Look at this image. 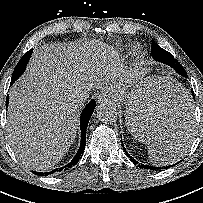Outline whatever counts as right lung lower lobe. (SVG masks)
I'll return each instance as SVG.
<instances>
[{
  "instance_id": "right-lung-lower-lobe-1",
  "label": "right lung lower lobe",
  "mask_w": 203,
  "mask_h": 203,
  "mask_svg": "<svg viewBox=\"0 0 203 203\" xmlns=\"http://www.w3.org/2000/svg\"><path fill=\"white\" fill-rule=\"evenodd\" d=\"M32 53H33V49H30L27 53H25L23 55V57L20 59V61L18 62L17 65L21 66L23 68H26V65H27ZM12 83H14V82L11 81V84ZM8 101H9V97H7V99H6V107L8 106ZM95 106H96V102H95V100H92L90 103H88L86 105V107L83 109V111L81 113V116H80L81 144H80V147H79L77 154L71 160V162L68 163L67 165L61 167V168H56L50 172L42 173V172L32 171L33 173H35L39 176H44V175L47 176L49 174H53L54 172H58V171L60 172L62 170H67L68 168L74 166L79 161V159H81L82 154H83L84 149H85V145H86V129L88 126L89 119L92 116L93 111L95 109Z\"/></svg>"
}]
</instances>
